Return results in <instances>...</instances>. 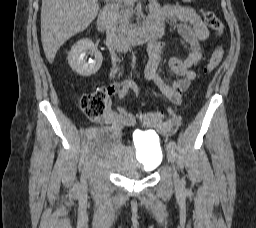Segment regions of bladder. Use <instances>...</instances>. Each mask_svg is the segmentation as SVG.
I'll return each instance as SVG.
<instances>
[{"label":"bladder","instance_id":"1","mask_svg":"<svg viewBox=\"0 0 256 228\" xmlns=\"http://www.w3.org/2000/svg\"><path fill=\"white\" fill-rule=\"evenodd\" d=\"M87 150L93 163L130 179L156 169L163 154L156 138L139 139L137 151L123 144L118 131L108 128H97L91 132L87 139Z\"/></svg>","mask_w":256,"mask_h":228}]
</instances>
